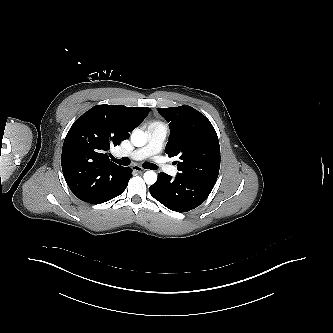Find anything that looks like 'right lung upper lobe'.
<instances>
[{
  "mask_svg": "<svg viewBox=\"0 0 333 333\" xmlns=\"http://www.w3.org/2000/svg\"><path fill=\"white\" fill-rule=\"evenodd\" d=\"M150 108L97 105L80 116L67 133L61 156L71 191L86 201L124 168L109 160L108 150L129 137Z\"/></svg>",
  "mask_w": 333,
  "mask_h": 333,
  "instance_id": "obj_1",
  "label": "right lung upper lobe"
}]
</instances>
